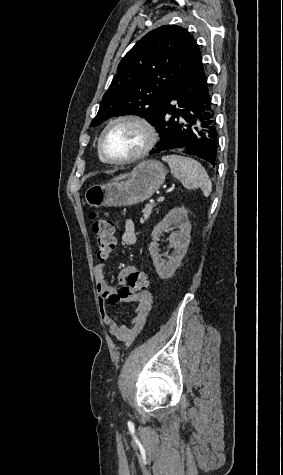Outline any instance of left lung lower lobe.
I'll return each mask as SVG.
<instances>
[{
	"label": "left lung lower lobe",
	"mask_w": 283,
	"mask_h": 475,
	"mask_svg": "<svg viewBox=\"0 0 283 475\" xmlns=\"http://www.w3.org/2000/svg\"><path fill=\"white\" fill-rule=\"evenodd\" d=\"M153 125L161 139L151 154L176 150L215 165L217 129L203 65L174 84L166 94Z\"/></svg>",
	"instance_id": "obj_1"
}]
</instances>
